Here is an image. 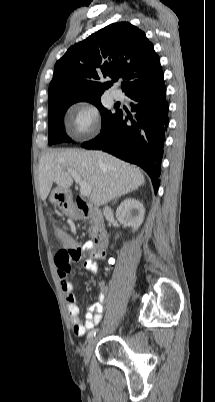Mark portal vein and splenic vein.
<instances>
[{
	"mask_svg": "<svg viewBox=\"0 0 215 402\" xmlns=\"http://www.w3.org/2000/svg\"><path fill=\"white\" fill-rule=\"evenodd\" d=\"M67 172L73 177L75 182L80 186V192L83 196L89 197L91 194V186L82 180V178L72 169H67Z\"/></svg>",
	"mask_w": 215,
	"mask_h": 402,
	"instance_id": "18ae733b",
	"label": "portal vein and splenic vein"
}]
</instances>
